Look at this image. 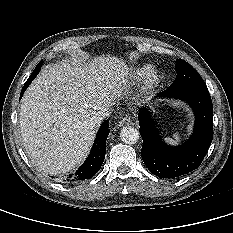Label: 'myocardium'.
Wrapping results in <instances>:
<instances>
[{"label": "myocardium", "mask_w": 233, "mask_h": 233, "mask_svg": "<svg viewBox=\"0 0 233 233\" xmlns=\"http://www.w3.org/2000/svg\"><path fill=\"white\" fill-rule=\"evenodd\" d=\"M162 80V75L159 72L150 73L145 80L144 89L146 91L153 89L157 86Z\"/></svg>", "instance_id": "1"}]
</instances>
